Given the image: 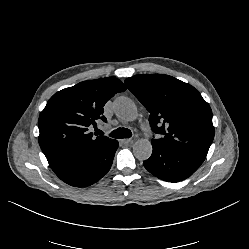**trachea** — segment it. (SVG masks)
I'll return each mask as SVG.
<instances>
[{
    "label": "trachea",
    "instance_id": "obj_1",
    "mask_svg": "<svg viewBox=\"0 0 249 249\" xmlns=\"http://www.w3.org/2000/svg\"><path fill=\"white\" fill-rule=\"evenodd\" d=\"M96 132L98 135L103 134L101 130H97ZM110 136L117 139L130 138L132 136V132L127 128H117L110 133Z\"/></svg>",
    "mask_w": 249,
    "mask_h": 249
}]
</instances>
